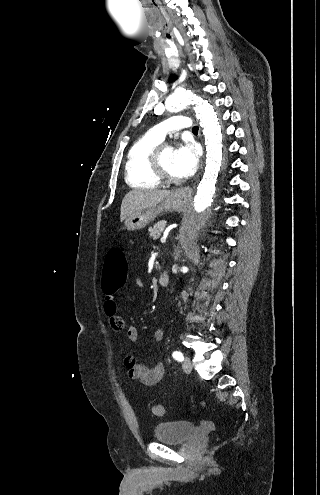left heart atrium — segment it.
Returning a JSON list of instances; mask_svg holds the SVG:
<instances>
[{"instance_id": "1", "label": "left heart atrium", "mask_w": 320, "mask_h": 495, "mask_svg": "<svg viewBox=\"0 0 320 495\" xmlns=\"http://www.w3.org/2000/svg\"><path fill=\"white\" fill-rule=\"evenodd\" d=\"M198 165V153L193 144H182L174 150L173 170L177 177L191 176Z\"/></svg>"}]
</instances>
